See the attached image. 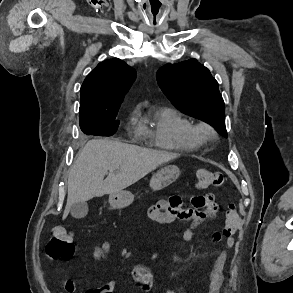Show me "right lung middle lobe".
<instances>
[{
    "mask_svg": "<svg viewBox=\"0 0 293 293\" xmlns=\"http://www.w3.org/2000/svg\"><path fill=\"white\" fill-rule=\"evenodd\" d=\"M80 114V113H79ZM117 112L104 115H80V128L87 135L109 136L117 131Z\"/></svg>",
    "mask_w": 293,
    "mask_h": 293,
    "instance_id": "dd1d6c3e",
    "label": "right lung middle lobe"
}]
</instances>
